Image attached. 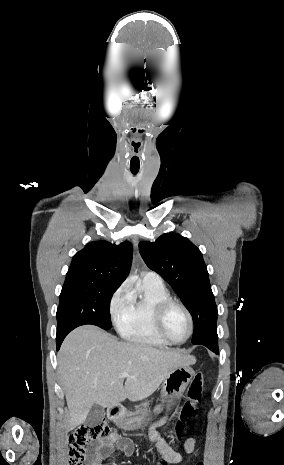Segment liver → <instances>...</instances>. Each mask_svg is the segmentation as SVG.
Listing matches in <instances>:
<instances>
[{
  "label": "liver",
  "instance_id": "1",
  "mask_svg": "<svg viewBox=\"0 0 284 465\" xmlns=\"http://www.w3.org/2000/svg\"><path fill=\"white\" fill-rule=\"evenodd\" d=\"M57 359L69 409L64 419L67 431L82 425L93 405L106 409L125 399H147L173 369L196 363L195 357L176 349L160 351L143 343L117 341L92 325L72 331L62 343ZM124 371H128L129 377H121Z\"/></svg>",
  "mask_w": 284,
  "mask_h": 465
}]
</instances>
